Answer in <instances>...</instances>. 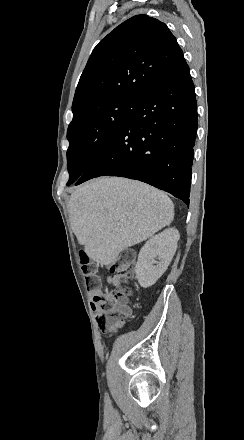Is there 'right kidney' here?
Returning <instances> with one entry per match:
<instances>
[{"instance_id": "obj_1", "label": "right kidney", "mask_w": 244, "mask_h": 440, "mask_svg": "<svg viewBox=\"0 0 244 440\" xmlns=\"http://www.w3.org/2000/svg\"><path fill=\"white\" fill-rule=\"evenodd\" d=\"M179 238L178 230L168 228L144 244L135 266L136 278L141 288H150L166 272L177 250Z\"/></svg>"}]
</instances>
